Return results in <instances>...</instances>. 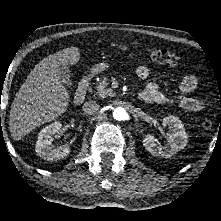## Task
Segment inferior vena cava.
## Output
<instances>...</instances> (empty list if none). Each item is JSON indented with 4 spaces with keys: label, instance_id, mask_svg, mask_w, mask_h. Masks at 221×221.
<instances>
[{
    "label": "inferior vena cava",
    "instance_id": "inferior-vena-cava-1",
    "mask_svg": "<svg viewBox=\"0 0 221 221\" xmlns=\"http://www.w3.org/2000/svg\"><path fill=\"white\" fill-rule=\"evenodd\" d=\"M100 108V105L96 101H87L83 104V112L87 115L95 114Z\"/></svg>",
    "mask_w": 221,
    "mask_h": 221
}]
</instances>
